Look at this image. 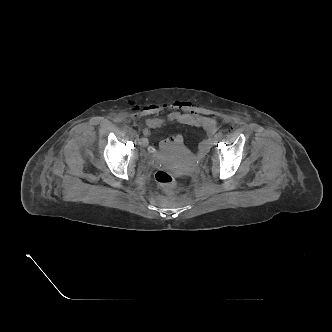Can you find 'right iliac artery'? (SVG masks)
<instances>
[{"label": "right iliac artery", "instance_id": "right-iliac-artery-1", "mask_svg": "<svg viewBox=\"0 0 332 332\" xmlns=\"http://www.w3.org/2000/svg\"><path fill=\"white\" fill-rule=\"evenodd\" d=\"M124 130L128 132V131H131L132 129L129 126H125Z\"/></svg>", "mask_w": 332, "mask_h": 332}]
</instances>
